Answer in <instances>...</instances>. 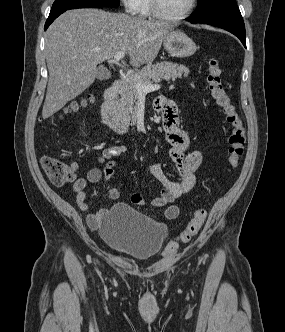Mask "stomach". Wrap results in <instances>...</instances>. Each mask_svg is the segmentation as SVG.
<instances>
[{"instance_id":"0dacf381","label":"stomach","mask_w":285,"mask_h":332,"mask_svg":"<svg viewBox=\"0 0 285 332\" xmlns=\"http://www.w3.org/2000/svg\"><path fill=\"white\" fill-rule=\"evenodd\" d=\"M163 45L171 56L178 58L189 57L196 51V44L182 31H170Z\"/></svg>"}]
</instances>
